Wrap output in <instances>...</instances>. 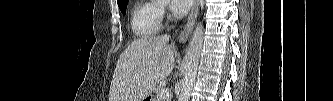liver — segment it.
I'll list each match as a JSON object with an SVG mask.
<instances>
[{
    "instance_id": "obj_1",
    "label": "liver",
    "mask_w": 333,
    "mask_h": 101,
    "mask_svg": "<svg viewBox=\"0 0 333 101\" xmlns=\"http://www.w3.org/2000/svg\"><path fill=\"white\" fill-rule=\"evenodd\" d=\"M177 51L168 39L133 41L120 55L111 81L109 101H143L167 78Z\"/></svg>"
}]
</instances>
